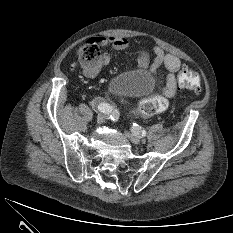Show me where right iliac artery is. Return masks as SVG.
<instances>
[{
	"mask_svg": "<svg viewBox=\"0 0 233 233\" xmlns=\"http://www.w3.org/2000/svg\"><path fill=\"white\" fill-rule=\"evenodd\" d=\"M91 105L98 109L100 112L107 114L108 117L115 120L119 117L118 110L109 102L105 101L103 98L97 97L92 100Z\"/></svg>",
	"mask_w": 233,
	"mask_h": 233,
	"instance_id": "obj_1",
	"label": "right iliac artery"
}]
</instances>
